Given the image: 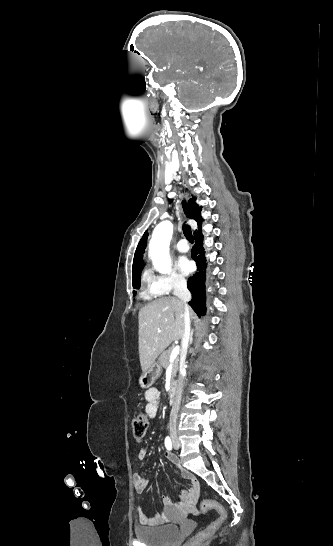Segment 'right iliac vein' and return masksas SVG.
Here are the masks:
<instances>
[{"mask_svg":"<svg viewBox=\"0 0 333 546\" xmlns=\"http://www.w3.org/2000/svg\"><path fill=\"white\" fill-rule=\"evenodd\" d=\"M172 440H173L174 445H176L177 447L180 446V442H179L178 437L176 435H172Z\"/></svg>","mask_w":333,"mask_h":546,"instance_id":"1","label":"right iliac vein"}]
</instances>
